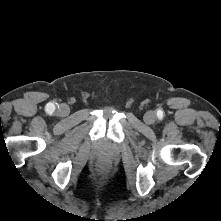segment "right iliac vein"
<instances>
[{
  "instance_id": "1",
  "label": "right iliac vein",
  "mask_w": 221,
  "mask_h": 221,
  "mask_svg": "<svg viewBox=\"0 0 221 221\" xmlns=\"http://www.w3.org/2000/svg\"><path fill=\"white\" fill-rule=\"evenodd\" d=\"M69 113H70V109H69L68 105L61 104L59 109H58L59 116L66 117V116L69 115Z\"/></svg>"
}]
</instances>
